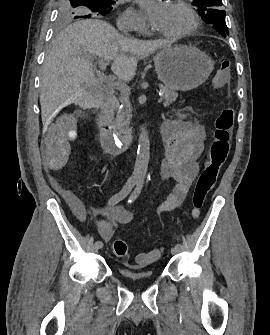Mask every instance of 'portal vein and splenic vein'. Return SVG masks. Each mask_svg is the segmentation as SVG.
<instances>
[{
    "label": "portal vein and splenic vein",
    "instance_id": "portal-vein-and-splenic-vein-1",
    "mask_svg": "<svg viewBox=\"0 0 270 335\" xmlns=\"http://www.w3.org/2000/svg\"><path fill=\"white\" fill-rule=\"evenodd\" d=\"M97 65L101 71H105L107 69L105 59L103 57H98L96 59ZM115 89L119 91V93H130L131 87L130 86H119L116 85ZM159 96H163V92H160ZM163 101V98H157V102Z\"/></svg>",
    "mask_w": 270,
    "mask_h": 335
}]
</instances>
